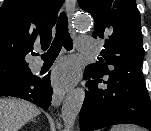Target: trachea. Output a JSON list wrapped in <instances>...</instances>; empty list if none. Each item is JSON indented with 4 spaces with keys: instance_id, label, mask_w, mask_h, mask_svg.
<instances>
[{
    "instance_id": "trachea-1",
    "label": "trachea",
    "mask_w": 151,
    "mask_h": 131,
    "mask_svg": "<svg viewBox=\"0 0 151 131\" xmlns=\"http://www.w3.org/2000/svg\"><path fill=\"white\" fill-rule=\"evenodd\" d=\"M62 46L70 51L73 48L72 38L68 31V20L65 13H61L56 25L55 38L49 50L42 55V59L46 61H54L59 55ZM34 55H37L36 53Z\"/></svg>"
}]
</instances>
